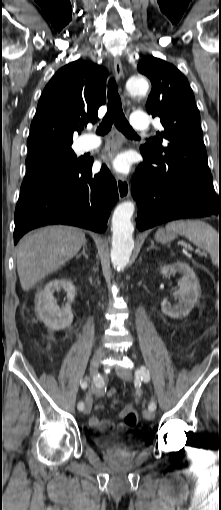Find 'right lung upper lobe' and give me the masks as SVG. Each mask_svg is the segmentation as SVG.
<instances>
[{
	"label": "right lung upper lobe",
	"mask_w": 221,
	"mask_h": 510,
	"mask_svg": "<svg viewBox=\"0 0 221 510\" xmlns=\"http://www.w3.org/2000/svg\"><path fill=\"white\" fill-rule=\"evenodd\" d=\"M106 68L84 60L67 64L46 85L27 140L29 152L71 147L74 131L95 123L106 101Z\"/></svg>",
	"instance_id": "1"
}]
</instances>
